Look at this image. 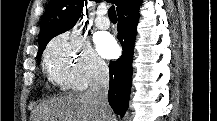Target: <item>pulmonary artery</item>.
<instances>
[{"instance_id": "pulmonary-artery-1", "label": "pulmonary artery", "mask_w": 217, "mask_h": 121, "mask_svg": "<svg viewBox=\"0 0 217 121\" xmlns=\"http://www.w3.org/2000/svg\"><path fill=\"white\" fill-rule=\"evenodd\" d=\"M95 25L98 29H101V30H106L110 27V20L105 15L104 11L100 10L97 12V17L95 19Z\"/></svg>"}]
</instances>
